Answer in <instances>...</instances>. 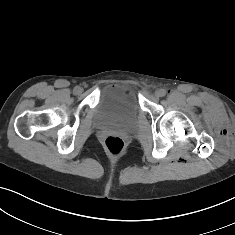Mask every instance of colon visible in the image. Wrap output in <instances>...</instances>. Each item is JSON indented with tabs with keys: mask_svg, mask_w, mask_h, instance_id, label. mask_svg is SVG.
I'll return each mask as SVG.
<instances>
[{
	"mask_svg": "<svg viewBox=\"0 0 235 235\" xmlns=\"http://www.w3.org/2000/svg\"><path fill=\"white\" fill-rule=\"evenodd\" d=\"M104 146L107 152L113 156H120L125 149L124 141L115 135L108 136L104 141Z\"/></svg>",
	"mask_w": 235,
	"mask_h": 235,
	"instance_id": "1",
	"label": "colon"
}]
</instances>
